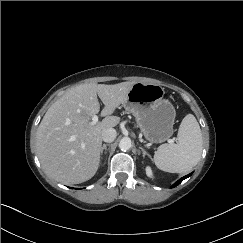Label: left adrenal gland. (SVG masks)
Here are the masks:
<instances>
[{
    "label": "left adrenal gland",
    "instance_id": "a2214340",
    "mask_svg": "<svg viewBox=\"0 0 243 243\" xmlns=\"http://www.w3.org/2000/svg\"><path fill=\"white\" fill-rule=\"evenodd\" d=\"M139 149L142 151L143 157H145V156L147 155V156L152 160L151 155H150L149 153H147V152L145 151V149H143L142 147H139Z\"/></svg>",
    "mask_w": 243,
    "mask_h": 243
}]
</instances>
